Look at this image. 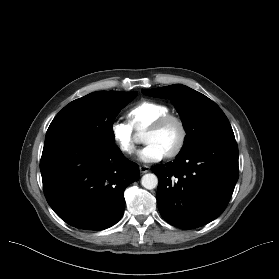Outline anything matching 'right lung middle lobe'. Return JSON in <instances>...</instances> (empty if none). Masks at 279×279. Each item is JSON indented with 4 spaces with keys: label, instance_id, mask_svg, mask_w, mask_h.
<instances>
[{
    "label": "right lung middle lobe",
    "instance_id": "right-lung-middle-lobe-1",
    "mask_svg": "<svg viewBox=\"0 0 279 279\" xmlns=\"http://www.w3.org/2000/svg\"><path fill=\"white\" fill-rule=\"evenodd\" d=\"M137 92L98 91L66 105L51 122L45 143L66 137L87 140L97 146H115L113 122Z\"/></svg>",
    "mask_w": 279,
    "mask_h": 279
}]
</instances>
